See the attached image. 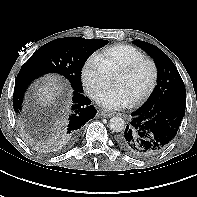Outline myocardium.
Returning <instances> with one entry per match:
<instances>
[{
    "label": "myocardium",
    "instance_id": "myocardium-1",
    "mask_svg": "<svg viewBox=\"0 0 197 197\" xmlns=\"http://www.w3.org/2000/svg\"><path fill=\"white\" fill-rule=\"evenodd\" d=\"M144 64H148L151 67L152 78H151L148 88L140 96H138L136 99H134L131 102V104H133V105H137V104L142 103L153 93V91L157 85V81H158V68H157L156 63L153 60L145 57V58L139 59V60L127 65L126 67L120 69L117 72V74L115 75V77L116 76H130L133 73H135Z\"/></svg>",
    "mask_w": 197,
    "mask_h": 197
}]
</instances>
